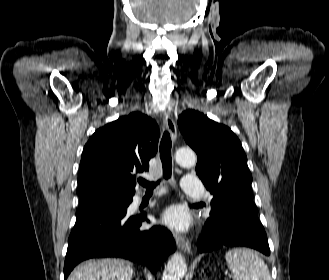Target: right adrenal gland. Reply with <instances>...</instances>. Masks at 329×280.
Here are the masks:
<instances>
[{"label":"right adrenal gland","mask_w":329,"mask_h":280,"mask_svg":"<svg viewBox=\"0 0 329 280\" xmlns=\"http://www.w3.org/2000/svg\"><path fill=\"white\" fill-rule=\"evenodd\" d=\"M135 280H139L137 277H135Z\"/></svg>","instance_id":"obj_1"}]
</instances>
